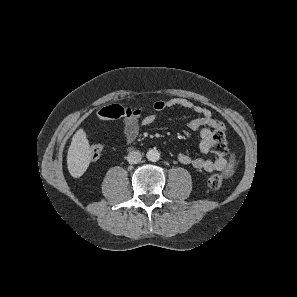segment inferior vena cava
Wrapping results in <instances>:
<instances>
[{"mask_svg":"<svg viewBox=\"0 0 297 297\" xmlns=\"http://www.w3.org/2000/svg\"><path fill=\"white\" fill-rule=\"evenodd\" d=\"M142 159V156H141V153L139 151H130L127 155V161L130 163V164H137L141 161Z\"/></svg>","mask_w":297,"mask_h":297,"instance_id":"602c4592","label":"inferior vena cava"}]
</instances>
